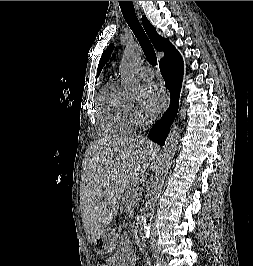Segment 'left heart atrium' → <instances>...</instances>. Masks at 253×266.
Returning <instances> with one entry per match:
<instances>
[{
    "mask_svg": "<svg viewBox=\"0 0 253 266\" xmlns=\"http://www.w3.org/2000/svg\"><path fill=\"white\" fill-rule=\"evenodd\" d=\"M144 106L147 111L156 114L162 110L166 103V93L156 83H148L143 86Z\"/></svg>",
    "mask_w": 253,
    "mask_h": 266,
    "instance_id": "1",
    "label": "left heart atrium"
}]
</instances>
